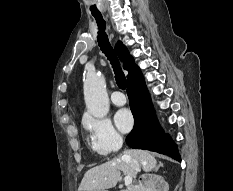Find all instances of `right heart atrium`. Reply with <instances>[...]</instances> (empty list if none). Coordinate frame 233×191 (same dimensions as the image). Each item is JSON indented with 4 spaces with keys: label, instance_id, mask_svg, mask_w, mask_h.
<instances>
[{
    "label": "right heart atrium",
    "instance_id": "right-heart-atrium-1",
    "mask_svg": "<svg viewBox=\"0 0 233 191\" xmlns=\"http://www.w3.org/2000/svg\"><path fill=\"white\" fill-rule=\"evenodd\" d=\"M84 125L90 133L91 145L99 155H108L122 144V136L107 118L87 116Z\"/></svg>",
    "mask_w": 233,
    "mask_h": 191
}]
</instances>
